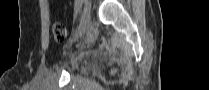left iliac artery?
<instances>
[{
	"label": "left iliac artery",
	"mask_w": 209,
	"mask_h": 90,
	"mask_svg": "<svg viewBox=\"0 0 209 90\" xmlns=\"http://www.w3.org/2000/svg\"><path fill=\"white\" fill-rule=\"evenodd\" d=\"M83 4H84L83 0L75 1L74 10H75L76 16H80V14L82 13Z\"/></svg>",
	"instance_id": "obj_1"
}]
</instances>
